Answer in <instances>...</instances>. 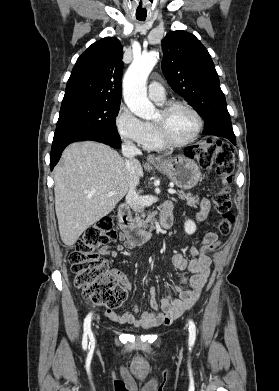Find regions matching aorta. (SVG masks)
<instances>
[{
	"label": "aorta",
	"instance_id": "obj_1",
	"mask_svg": "<svg viewBox=\"0 0 279 391\" xmlns=\"http://www.w3.org/2000/svg\"><path fill=\"white\" fill-rule=\"evenodd\" d=\"M158 58L155 50L135 57L123 79L124 101L131 112L143 119H150L155 113L154 105L147 98L146 80Z\"/></svg>",
	"mask_w": 279,
	"mask_h": 391
}]
</instances>
